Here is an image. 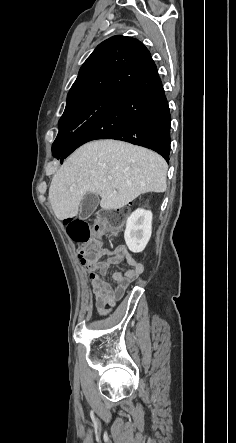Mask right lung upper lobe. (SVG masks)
Returning a JSON list of instances; mask_svg holds the SVG:
<instances>
[{
	"mask_svg": "<svg viewBox=\"0 0 236 443\" xmlns=\"http://www.w3.org/2000/svg\"><path fill=\"white\" fill-rule=\"evenodd\" d=\"M154 65L139 40L113 36L97 46L72 85L66 108L98 94L114 95L135 83Z\"/></svg>",
	"mask_w": 236,
	"mask_h": 443,
	"instance_id": "cb5924a9",
	"label": "right lung upper lobe"
}]
</instances>
